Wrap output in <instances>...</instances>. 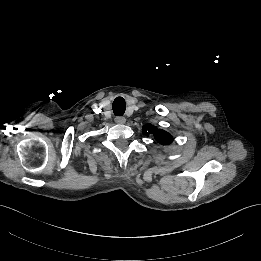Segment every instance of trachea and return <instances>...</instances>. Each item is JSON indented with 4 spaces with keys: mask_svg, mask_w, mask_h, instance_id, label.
Here are the masks:
<instances>
[{
    "mask_svg": "<svg viewBox=\"0 0 261 261\" xmlns=\"http://www.w3.org/2000/svg\"><path fill=\"white\" fill-rule=\"evenodd\" d=\"M126 110V103L124 98L117 97L113 102V112L117 116H122Z\"/></svg>",
    "mask_w": 261,
    "mask_h": 261,
    "instance_id": "1",
    "label": "trachea"
}]
</instances>
